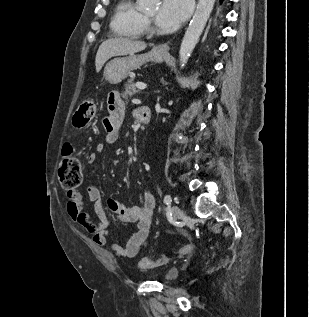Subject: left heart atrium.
Returning a JSON list of instances; mask_svg holds the SVG:
<instances>
[{
  "label": "left heart atrium",
  "mask_w": 309,
  "mask_h": 317,
  "mask_svg": "<svg viewBox=\"0 0 309 317\" xmlns=\"http://www.w3.org/2000/svg\"><path fill=\"white\" fill-rule=\"evenodd\" d=\"M190 13V0H162L157 25L166 31L176 29Z\"/></svg>",
  "instance_id": "left-heart-atrium-1"
}]
</instances>
